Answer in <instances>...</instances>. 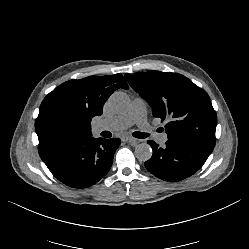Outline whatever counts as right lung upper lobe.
<instances>
[{
	"label": "right lung upper lobe",
	"instance_id": "cb5924a9",
	"mask_svg": "<svg viewBox=\"0 0 249 249\" xmlns=\"http://www.w3.org/2000/svg\"><path fill=\"white\" fill-rule=\"evenodd\" d=\"M118 88L128 89L121 74L89 76L64 82L42 101L35 121L41 158L63 145L91 135V120Z\"/></svg>",
	"mask_w": 249,
	"mask_h": 249
}]
</instances>
